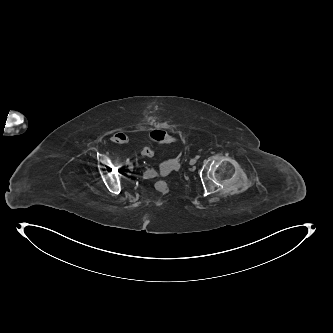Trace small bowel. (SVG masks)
Masks as SVG:
<instances>
[{
  "label": "small bowel",
  "instance_id": "obj_1",
  "mask_svg": "<svg viewBox=\"0 0 333 333\" xmlns=\"http://www.w3.org/2000/svg\"><path fill=\"white\" fill-rule=\"evenodd\" d=\"M151 135V134H150ZM126 140V135L123 132H116L112 136V141L117 143H123ZM146 178H150L151 175L148 173V171L145 173Z\"/></svg>",
  "mask_w": 333,
  "mask_h": 333
}]
</instances>
